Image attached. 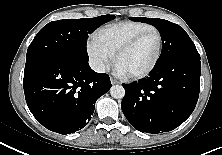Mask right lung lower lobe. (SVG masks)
Returning a JSON list of instances; mask_svg holds the SVG:
<instances>
[{"label": "right lung lower lobe", "mask_w": 222, "mask_h": 155, "mask_svg": "<svg viewBox=\"0 0 222 155\" xmlns=\"http://www.w3.org/2000/svg\"><path fill=\"white\" fill-rule=\"evenodd\" d=\"M24 93L36 120L47 129L74 133L90 121L96 100L111 87L105 73L88 61L56 59L24 70Z\"/></svg>", "instance_id": "obj_1"}]
</instances>
